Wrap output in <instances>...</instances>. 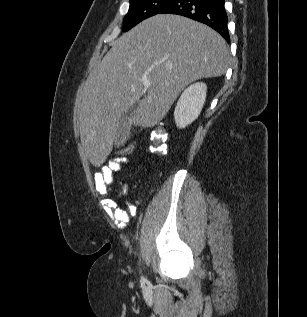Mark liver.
I'll return each mask as SVG.
<instances>
[{"mask_svg": "<svg viewBox=\"0 0 307 317\" xmlns=\"http://www.w3.org/2000/svg\"><path fill=\"white\" fill-rule=\"evenodd\" d=\"M229 63L221 35L179 15L153 16L123 34L76 98L80 138L90 162L97 167L105 162L124 113L132 110L135 126L153 127L188 84L223 75ZM146 80L151 83L147 89Z\"/></svg>", "mask_w": 307, "mask_h": 317, "instance_id": "liver-1", "label": "liver"}]
</instances>
